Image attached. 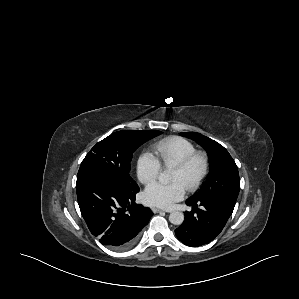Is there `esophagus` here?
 Listing matches in <instances>:
<instances>
[{
    "instance_id": "obj_1",
    "label": "esophagus",
    "mask_w": 299,
    "mask_h": 299,
    "mask_svg": "<svg viewBox=\"0 0 299 299\" xmlns=\"http://www.w3.org/2000/svg\"><path fill=\"white\" fill-rule=\"evenodd\" d=\"M152 211H153V213L168 212V211L162 210V209H160V208H156V207H153V208H152Z\"/></svg>"
}]
</instances>
